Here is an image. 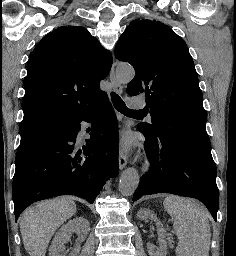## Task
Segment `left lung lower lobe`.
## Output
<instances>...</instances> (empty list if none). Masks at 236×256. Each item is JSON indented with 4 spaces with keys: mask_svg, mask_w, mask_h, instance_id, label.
Listing matches in <instances>:
<instances>
[{
    "mask_svg": "<svg viewBox=\"0 0 236 256\" xmlns=\"http://www.w3.org/2000/svg\"><path fill=\"white\" fill-rule=\"evenodd\" d=\"M146 138L145 151L151 163L133 195L171 193L193 197L208 208L217 220L219 191L217 170L208 136L160 122L156 134L139 128Z\"/></svg>",
    "mask_w": 236,
    "mask_h": 256,
    "instance_id": "obj_1",
    "label": "left lung lower lobe"
}]
</instances>
